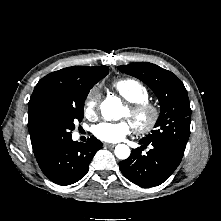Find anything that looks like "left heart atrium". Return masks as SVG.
I'll use <instances>...</instances> for the list:
<instances>
[{
  "mask_svg": "<svg viewBox=\"0 0 221 221\" xmlns=\"http://www.w3.org/2000/svg\"><path fill=\"white\" fill-rule=\"evenodd\" d=\"M131 132L128 122H100L93 127V134L104 142L115 143L121 141Z\"/></svg>",
  "mask_w": 221,
  "mask_h": 221,
  "instance_id": "obj_1",
  "label": "left heart atrium"
}]
</instances>
